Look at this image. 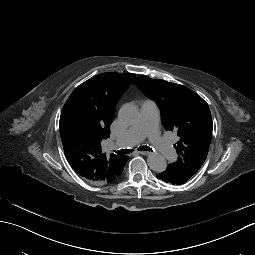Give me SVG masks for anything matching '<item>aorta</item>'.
I'll use <instances>...</instances> for the list:
<instances>
[{"label": "aorta", "instance_id": "aorta-1", "mask_svg": "<svg viewBox=\"0 0 255 255\" xmlns=\"http://www.w3.org/2000/svg\"><path fill=\"white\" fill-rule=\"evenodd\" d=\"M118 116L123 123L131 125L138 120L139 110L135 105L128 103L120 108ZM147 163L149 168L155 172H163L166 169L164 156L157 152H151L148 155Z\"/></svg>", "mask_w": 255, "mask_h": 255}]
</instances>
